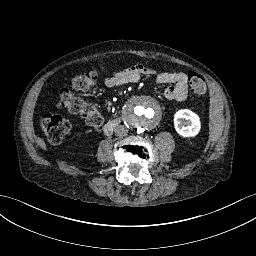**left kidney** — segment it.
<instances>
[{"instance_id": "obj_1", "label": "left kidney", "mask_w": 256, "mask_h": 256, "mask_svg": "<svg viewBox=\"0 0 256 256\" xmlns=\"http://www.w3.org/2000/svg\"><path fill=\"white\" fill-rule=\"evenodd\" d=\"M183 119L189 121L187 127L183 125ZM174 128L179 136L192 138L197 136L201 130V119L196 113L189 109H180L174 114Z\"/></svg>"}]
</instances>
